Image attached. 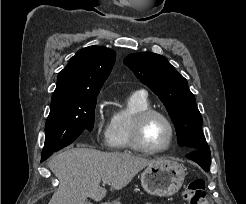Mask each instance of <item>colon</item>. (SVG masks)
<instances>
[{"instance_id":"5ec220e1","label":"colon","mask_w":246,"mask_h":204,"mask_svg":"<svg viewBox=\"0 0 246 204\" xmlns=\"http://www.w3.org/2000/svg\"><path fill=\"white\" fill-rule=\"evenodd\" d=\"M183 197L188 204H213L206 193L205 181L202 178L189 182L184 190Z\"/></svg>"}]
</instances>
